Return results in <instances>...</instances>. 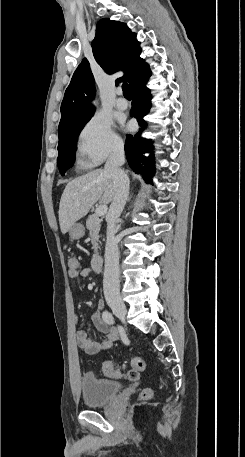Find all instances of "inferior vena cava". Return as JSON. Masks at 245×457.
<instances>
[{
    "instance_id": "obj_1",
    "label": "inferior vena cava",
    "mask_w": 245,
    "mask_h": 457,
    "mask_svg": "<svg viewBox=\"0 0 245 457\" xmlns=\"http://www.w3.org/2000/svg\"><path fill=\"white\" fill-rule=\"evenodd\" d=\"M125 162L124 144H115L105 164L104 172L109 174L114 186L115 194L107 214V237L105 247V271L103 277V291L105 297L119 295V253L118 241L115 237L116 218L120 216L126 200H128L129 178L120 168Z\"/></svg>"
}]
</instances>
